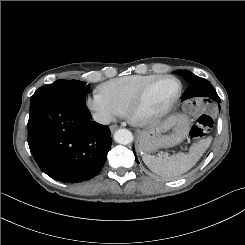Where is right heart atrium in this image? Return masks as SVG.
<instances>
[{
  "mask_svg": "<svg viewBox=\"0 0 245 245\" xmlns=\"http://www.w3.org/2000/svg\"><path fill=\"white\" fill-rule=\"evenodd\" d=\"M85 104L94 119L101 124H109L124 114V112L100 90L94 91L89 95L86 98Z\"/></svg>",
  "mask_w": 245,
  "mask_h": 245,
  "instance_id": "1",
  "label": "right heart atrium"
}]
</instances>
